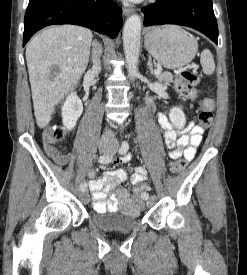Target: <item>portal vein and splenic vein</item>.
Wrapping results in <instances>:
<instances>
[{"mask_svg":"<svg viewBox=\"0 0 247 275\" xmlns=\"http://www.w3.org/2000/svg\"><path fill=\"white\" fill-rule=\"evenodd\" d=\"M154 73H155L156 76H158V75L161 74V70H160V69H156V70L154 71Z\"/></svg>","mask_w":247,"mask_h":275,"instance_id":"1","label":"portal vein and splenic vein"}]
</instances>
